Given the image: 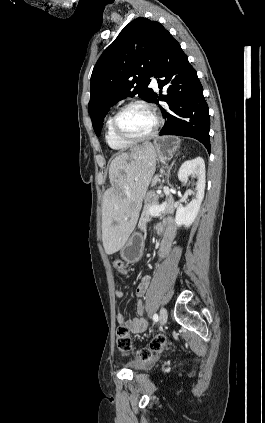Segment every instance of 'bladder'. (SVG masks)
I'll return each mask as SVG.
<instances>
[{
  "instance_id": "31cf9c89",
  "label": "bladder",
  "mask_w": 265,
  "mask_h": 423,
  "mask_svg": "<svg viewBox=\"0 0 265 423\" xmlns=\"http://www.w3.org/2000/svg\"><path fill=\"white\" fill-rule=\"evenodd\" d=\"M146 366L144 365V366H142L140 369H143V368H145Z\"/></svg>"
}]
</instances>
